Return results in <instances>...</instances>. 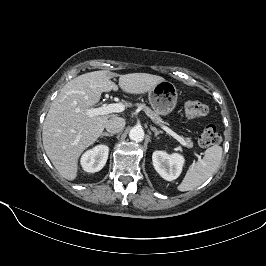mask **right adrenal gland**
Segmentation results:
<instances>
[{"instance_id": "obj_1", "label": "right adrenal gland", "mask_w": 266, "mask_h": 266, "mask_svg": "<svg viewBox=\"0 0 266 266\" xmlns=\"http://www.w3.org/2000/svg\"><path fill=\"white\" fill-rule=\"evenodd\" d=\"M100 136H101V138L104 136L112 137V136H114V134L105 132V133H102Z\"/></svg>"}]
</instances>
